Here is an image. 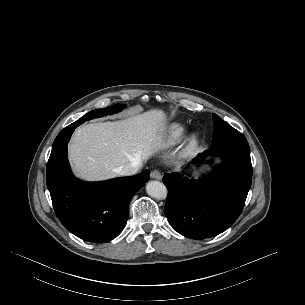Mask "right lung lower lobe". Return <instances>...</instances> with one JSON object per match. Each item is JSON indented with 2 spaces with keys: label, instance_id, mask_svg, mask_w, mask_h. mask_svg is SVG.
<instances>
[{
  "label": "right lung lower lobe",
  "instance_id": "right-lung-lower-lobe-1",
  "mask_svg": "<svg viewBox=\"0 0 305 305\" xmlns=\"http://www.w3.org/2000/svg\"><path fill=\"white\" fill-rule=\"evenodd\" d=\"M80 124L72 123L56 137L47 163V187L64 227L85 241L104 243L125 227L130 198L149 180L150 171L95 183L76 179L68 163L67 145Z\"/></svg>",
  "mask_w": 305,
  "mask_h": 305
}]
</instances>
